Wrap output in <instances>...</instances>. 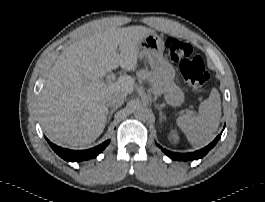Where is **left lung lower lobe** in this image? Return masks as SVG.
I'll return each instance as SVG.
<instances>
[{"label":"left lung lower lobe","mask_w":265,"mask_h":202,"mask_svg":"<svg viewBox=\"0 0 265 202\" xmlns=\"http://www.w3.org/2000/svg\"><path fill=\"white\" fill-rule=\"evenodd\" d=\"M220 139V135H218L213 142H211L208 146H206L205 148L195 151V152H191V153H175V152H171L168 151L166 149L161 148L158 144L157 146L159 148H161V150L171 159L174 160H178V161H193V160H197L199 158L204 157L208 151L210 149H212L215 144L218 142V140Z\"/></svg>","instance_id":"0a47b994"}]
</instances>
